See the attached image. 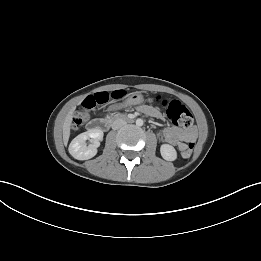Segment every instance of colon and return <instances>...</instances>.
Listing matches in <instances>:
<instances>
[{"mask_svg": "<svg viewBox=\"0 0 261 261\" xmlns=\"http://www.w3.org/2000/svg\"><path fill=\"white\" fill-rule=\"evenodd\" d=\"M126 96V93L122 90L112 92L108 94L106 92L97 93L94 96L88 97L82 105V109L79 110L73 119V129H79L83 123L85 113L87 111H93L99 107H103L107 104L109 99L122 100ZM153 101L161 103L166 108V115L168 119L175 125L188 128L193 124V117L190 111L179 101L163 99L161 96H156ZM195 143L189 142L183 147L182 155L184 157H190L193 153Z\"/></svg>", "mask_w": 261, "mask_h": 261, "instance_id": "5ec220e1", "label": "colon"}]
</instances>
